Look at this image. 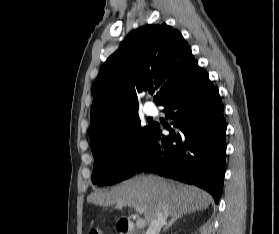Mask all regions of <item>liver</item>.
<instances>
[{
    "label": "liver",
    "instance_id": "obj_1",
    "mask_svg": "<svg viewBox=\"0 0 279 234\" xmlns=\"http://www.w3.org/2000/svg\"><path fill=\"white\" fill-rule=\"evenodd\" d=\"M87 201L103 207L139 206L150 224L158 210L167 211L171 217H181L208 208L212 198L194 186L149 175L128 179L108 192H94Z\"/></svg>",
    "mask_w": 279,
    "mask_h": 234
}]
</instances>
